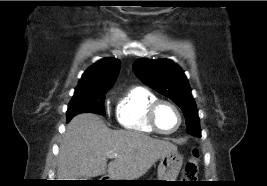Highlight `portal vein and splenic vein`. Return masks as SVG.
Here are the masks:
<instances>
[{"instance_id":"1","label":"portal vein and splenic vein","mask_w":267,"mask_h":186,"mask_svg":"<svg viewBox=\"0 0 267 186\" xmlns=\"http://www.w3.org/2000/svg\"><path fill=\"white\" fill-rule=\"evenodd\" d=\"M106 156L108 158H115V157H117V154L116 153H112V152H108V153H106Z\"/></svg>"}]
</instances>
